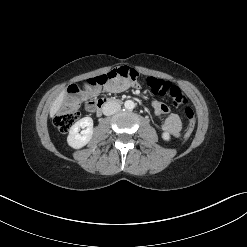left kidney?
Listing matches in <instances>:
<instances>
[{"label": "left kidney", "mask_w": 247, "mask_h": 247, "mask_svg": "<svg viewBox=\"0 0 247 247\" xmlns=\"http://www.w3.org/2000/svg\"><path fill=\"white\" fill-rule=\"evenodd\" d=\"M162 138L165 141H170V139H171L169 133H167V132L162 133Z\"/></svg>", "instance_id": "5707ae66"}]
</instances>
